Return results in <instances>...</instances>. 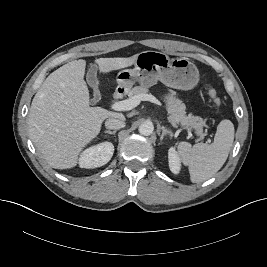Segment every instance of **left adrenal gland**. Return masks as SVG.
Returning <instances> with one entry per match:
<instances>
[{
    "mask_svg": "<svg viewBox=\"0 0 267 267\" xmlns=\"http://www.w3.org/2000/svg\"><path fill=\"white\" fill-rule=\"evenodd\" d=\"M160 129L162 131L161 136H160V141H162L164 136H166V135L172 136L171 131L168 130L166 127L162 126V127H160Z\"/></svg>",
    "mask_w": 267,
    "mask_h": 267,
    "instance_id": "1",
    "label": "left adrenal gland"
}]
</instances>
